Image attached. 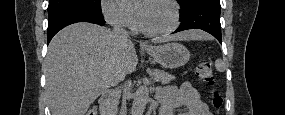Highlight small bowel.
Wrapping results in <instances>:
<instances>
[{"instance_id": "c3829d8e", "label": "small bowel", "mask_w": 285, "mask_h": 115, "mask_svg": "<svg viewBox=\"0 0 285 115\" xmlns=\"http://www.w3.org/2000/svg\"><path fill=\"white\" fill-rule=\"evenodd\" d=\"M158 99L162 103L159 115H210L206 103L198 91L188 82L180 87L168 86L161 89Z\"/></svg>"}]
</instances>
